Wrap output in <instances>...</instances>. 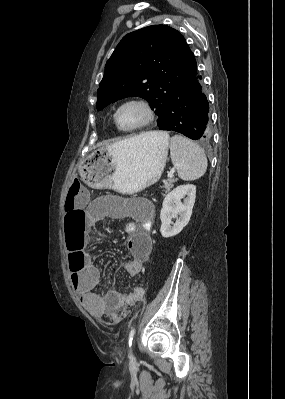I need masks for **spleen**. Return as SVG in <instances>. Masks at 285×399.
<instances>
[{
  "mask_svg": "<svg viewBox=\"0 0 285 399\" xmlns=\"http://www.w3.org/2000/svg\"><path fill=\"white\" fill-rule=\"evenodd\" d=\"M170 157L178 176L184 181L202 177L207 169L204 150L195 142L182 135L170 139Z\"/></svg>",
  "mask_w": 285,
  "mask_h": 399,
  "instance_id": "obj_1",
  "label": "spleen"
}]
</instances>
